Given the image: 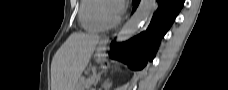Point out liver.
I'll use <instances>...</instances> for the list:
<instances>
[{"mask_svg":"<svg viewBox=\"0 0 228 90\" xmlns=\"http://www.w3.org/2000/svg\"><path fill=\"white\" fill-rule=\"evenodd\" d=\"M99 40L98 35L83 32L68 37L51 63L52 90H75Z\"/></svg>","mask_w":228,"mask_h":90,"instance_id":"1","label":"liver"}]
</instances>
